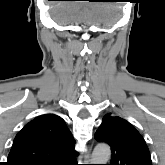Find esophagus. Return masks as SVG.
<instances>
[{"label":"esophagus","mask_w":165,"mask_h":165,"mask_svg":"<svg viewBox=\"0 0 165 165\" xmlns=\"http://www.w3.org/2000/svg\"><path fill=\"white\" fill-rule=\"evenodd\" d=\"M90 152H91V148L89 147L88 150H87V153L85 155L86 160H89V158H90Z\"/></svg>","instance_id":"1"}]
</instances>
